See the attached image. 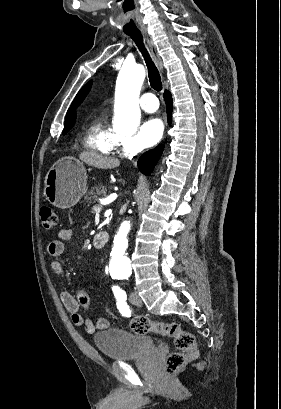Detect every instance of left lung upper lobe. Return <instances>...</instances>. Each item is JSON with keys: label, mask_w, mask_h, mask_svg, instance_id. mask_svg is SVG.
Instances as JSON below:
<instances>
[{"label": "left lung upper lobe", "mask_w": 281, "mask_h": 409, "mask_svg": "<svg viewBox=\"0 0 281 409\" xmlns=\"http://www.w3.org/2000/svg\"><path fill=\"white\" fill-rule=\"evenodd\" d=\"M90 85L91 82L87 83L76 95L72 106H77L80 102L83 101V99L85 98V96L87 95L88 91L90 90Z\"/></svg>", "instance_id": "left-lung-upper-lobe-1"}]
</instances>
